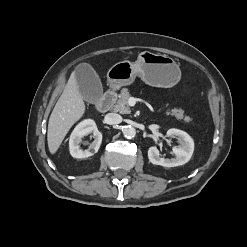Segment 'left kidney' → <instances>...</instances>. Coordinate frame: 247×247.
Returning <instances> with one entry per match:
<instances>
[{
  "label": "left kidney",
  "instance_id": "5707ae66",
  "mask_svg": "<svg viewBox=\"0 0 247 247\" xmlns=\"http://www.w3.org/2000/svg\"><path fill=\"white\" fill-rule=\"evenodd\" d=\"M168 137H177L180 146L173 147L174 158L165 159L160 157L159 150L156 146L148 149V158L152 164L163 167H176L187 163L194 151V141L186 132L179 129H169L166 132Z\"/></svg>",
  "mask_w": 247,
  "mask_h": 247
}]
</instances>
